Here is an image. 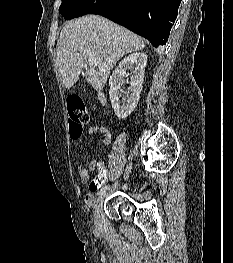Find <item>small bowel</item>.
Here are the masks:
<instances>
[{
    "label": "small bowel",
    "instance_id": "obj_1",
    "mask_svg": "<svg viewBox=\"0 0 233 263\" xmlns=\"http://www.w3.org/2000/svg\"><path fill=\"white\" fill-rule=\"evenodd\" d=\"M88 134H95L101 133L102 134V141L105 146H109L113 142V136L111 132L102 125L94 124L90 126L87 130ZM98 169V171H106L104 168L103 163L100 160H93L89 164V169L80 167L78 169L79 176L83 183H87L90 179V170ZM103 184V183H98ZM92 192L96 191L97 189H91ZM84 202L88 206H92L95 203V196L92 193H88L84 197Z\"/></svg>",
    "mask_w": 233,
    "mask_h": 263
}]
</instances>
